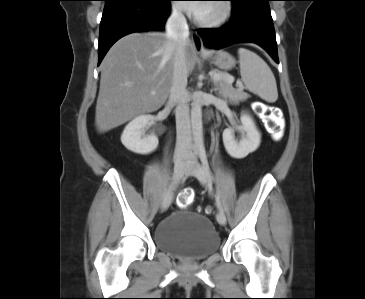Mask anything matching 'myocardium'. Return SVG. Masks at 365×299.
I'll use <instances>...</instances> for the list:
<instances>
[{
	"label": "myocardium",
	"instance_id": "1",
	"mask_svg": "<svg viewBox=\"0 0 365 299\" xmlns=\"http://www.w3.org/2000/svg\"><path fill=\"white\" fill-rule=\"evenodd\" d=\"M221 7V12L218 16L211 19H201L195 16V22L202 27L215 28L220 27L229 22L233 16L234 7L230 0H218Z\"/></svg>",
	"mask_w": 365,
	"mask_h": 299
}]
</instances>
